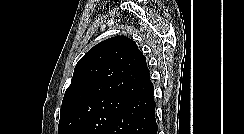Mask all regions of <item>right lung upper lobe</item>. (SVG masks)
<instances>
[{
	"instance_id": "1",
	"label": "right lung upper lobe",
	"mask_w": 244,
	"mask_h": 134,
	"mask_svg": "<svg viewBox=\"0 0 244 134\" xmlns=\"http://www.w3.org/2000/svg\"><path fill=\"white\" fill-rule=\"evenodd\" d=\"M153 90L143 53L125 36L95 45L76 64L60 119L81 103L103 97L134 99Z\"/></svg>"
}]
</instances>
